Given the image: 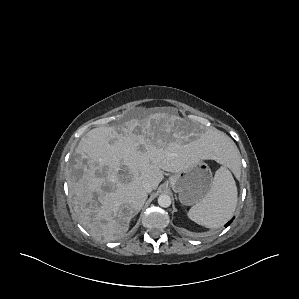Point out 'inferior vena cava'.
I'll return each instance as SVG.
<instances>
[{"label":"inferior vena cava","mask_w":299,"mask_h":299,"mask_svg":"<svg viewBox=\"0 0 299 299\" xmlns=\"http://www.w3.org/2000/svg\"><path fill=\"white\" fill-rule=\"evenodd\" d=\"M142 186H143L144 190H145L147 193H150V192L152 191V186H151V184L149 183L148 180H144V181L142 182Z\"/></svg>","instance_id":"602c4592"}]
</instances>
